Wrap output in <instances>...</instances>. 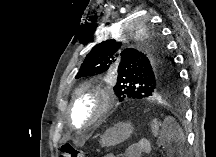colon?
Masks as SVG:
<instances>
[{
    "label": "colon",
    "instance_id": "1",
    "mask_svg": "<svg viewBox=\"0 0 216 157\" xmlns=\"http://www.w3.org/2000/svg\"><path fill=\"white\" fill-rule=\"evenodd\" d=\"M153 126L156 127V122L153 123ZM60 157H83L82 153L78 151L75 147L70 144H64L61 147Z\"/></svg>",
    "mask_w": 216,
    "mask_h": 157
}]
</instances>
